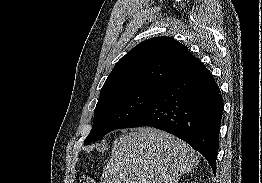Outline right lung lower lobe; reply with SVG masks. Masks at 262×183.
<instances>
[{
    "instance_id": "1",
    "label": "right lung lower lobe",
    "mask_w": 262,
    "mask_h": 183,
    "mask_svg": "<svg viewBox=\"0 0 262 183\" xmlns=\"http://www.w3.org/2000/svg\"><path fill=\"white\" fill-rule=\"evenodd\" d=\"M223 98L203 65L158 89L124 128L151 126L169 132L199 151L216 173Z\"/></svg>"
}]
</instances>
